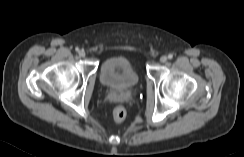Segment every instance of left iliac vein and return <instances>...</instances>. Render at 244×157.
<instances>
[{
    "mask_svg": "<svg viewBox=\"0 0 244 157\" xmlns=\"http://www.w3.org/2000/svg\"><path fill=\"white\" fill-rule=\"evenodd\" d=\"M160 61H161L162 63H165V62L167 61V57H166V56H162V57L160 58Z\"/></svg>",
    "mask_w": 244,
    "mask_h": 157,
    "instance_id": "1",
    "label": "left iliac vein"
}]
</instances>
